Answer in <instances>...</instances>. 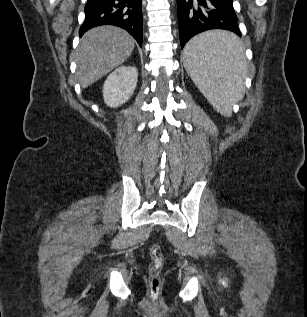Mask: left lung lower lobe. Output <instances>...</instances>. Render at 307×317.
<instances>
[{
  "instance_id": "obj_1",
  "label": "left lung lower lobe",
  "mask_w": 307,
  "mask_h": 317,
  "mask_svg": "<svg viewBox=\"0 0 307 317\" xmlns=\"http://www.w3.org/2000/svg\"><path fill=\"white\" fill-rule=\"evenodd\" d=\"M177 8L182 49L193 36L210 29L229 30L241 37L233 0H177ZM239 48L237 43L223 47L220 58L237 57Z\"/></svg>"
}]
</instances>
